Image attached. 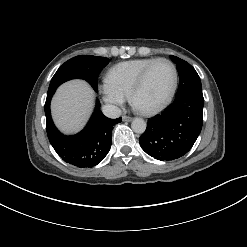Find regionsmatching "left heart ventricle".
Wrapping results in <instances>:
<instances>
[{
  "mask_svg": "<svg viewBox=\"0 0 247 247\" xmlns=\"http://www.w3.org/2000/svg\"><path fill=\"white\" fill-rule=\"evenodd\" d=\"M173 83L170 64L159 62L153 66L146 80L135 96L136 106L150 109L159 105L168 95Z\"/></svg>",
  "mask_w": 247,
  "mask_h": 247,
  "instance_id": "b2bd125f",
  "label": "left heart ventricle"
}]
</instances>
